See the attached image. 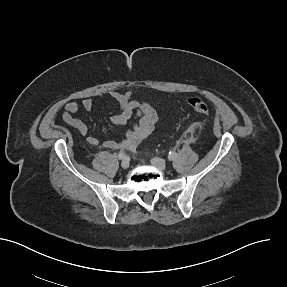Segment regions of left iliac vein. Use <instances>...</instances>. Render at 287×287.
<instances>
[{
  "label": "left iliac vein",
  "instance_id": "obj_1",
  "mask_svg": "<svg viewBox=\"0 0 287 287\" xmlns=\"http://www.w3.org/2000/svg\"><path fill=\"white\" fill-rule=\"evenodd\" d=\"M151 164L160 170H164L166 168V161L158 157L152 158Z\"/></svg>",
  "mask_w": 287,
  "mask_h": 287
}]
</instances>
